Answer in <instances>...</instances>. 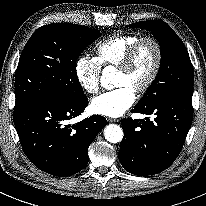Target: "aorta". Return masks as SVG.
<instances>
[{"instance_id": "obj_1", "label": "aorta", "mask_w": 206, "mask_h": 206, "mask_svg": "<svg viewBox=\"0 0 206 206\" xmlns=\"http://www.w3.org/2000/svg\"><path fill=\"white\" fill-rule=\"evenodd\" d=\"M112 71L109 68L104 69L101 76V84L107 88L111 81ZM105 139L110 143H118L123 138V130L119 125L109 124L104 129Z\"/></svg>"}]
</instances>
